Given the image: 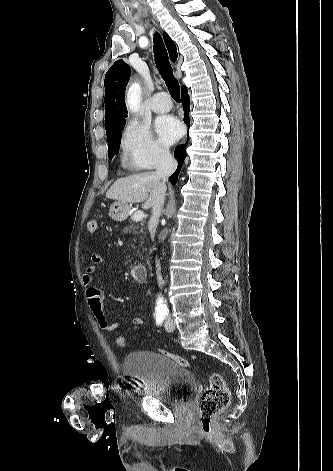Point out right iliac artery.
I'll use <instances>...</instances> for the list:
<instances>
[{
    "mask_svg": "<svg viewBox=\"0 0 333 471\" xmlns=\"http://www.w3.org/2000/svg\"><path fill=\"white\" fill-rule=\"evenodd\" d=\"M164 318H165V313H163V312H157V313H156V323H157V325H161L162 322H163V320H164Z\"/></svg>",
    "mask_w": 333,
    "mask_h": 471,
    "instance_id": "82829eb1",
    "label": "right iliac artery"
}]
</instances>
